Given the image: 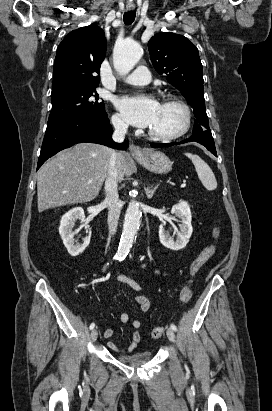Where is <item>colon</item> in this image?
<instances>
[{
    "label": "colon",
    "instance_id": "1",
    "mask_svg": "<svg viewBox=\"0 0 272 411\" xmlns=\"http://www.w3.org/2000/svg\"><path fill=\"white\" fill-rule=\"evenodd\" d=\"M215 236H218V232L215 231ZM215 254V247L211 246L203 250L190 264L189 267V280L184 285L180 293V301L182 303H187L192 297V288H191V278L199 271V269L207 263ZM165 331L164 327H154L151 331V336L154 339L160 338L163 336Z\"/></svg>",
    "mask_w": 272,
    "mask_h": 411
}]
</instances>
